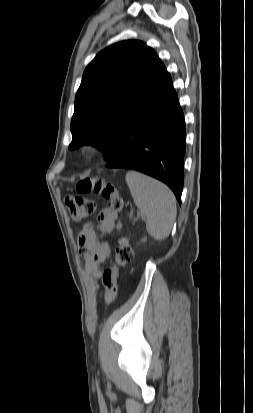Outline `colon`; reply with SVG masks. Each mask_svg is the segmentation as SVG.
<instances>
[{
  "label": "colon",
  "instance_id": "obj_1",
  "mask_svg": "<svg viewBox=\"0 0 253 413\" xmlns=\"http://www.w3.org/2000/svg\"><path fill=\"white\" fill-rule=\"evenodd\" d=\"M100 193L108 203V207L116 213L123 209V201L117 189L99 178H87L76 185V195H68L65 199L71 217L81 221L90 217L95 211V202L88 197L91 192ZM118 228H121L119 223ZM133 259V250L129 240L121 237L115 250V262L118 268H123Z\"/></svg>",
  "mask_w": 253,
  "mask_h": 413
}]
</instances>
